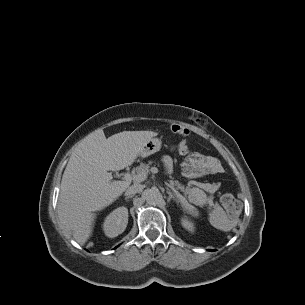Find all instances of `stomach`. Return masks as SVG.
<instances>
[{"instance_id":"obj_1","label":"stomach","mask_w":305,"mask_h":305,"mask_svg":"<svg viewBox=\"0 0 305 305\" xmlns=\"http://www.w3.org/2000/svg\"><path fill=\"white\" fill-rule=\"evenodd\" d=\"M162 142L158 138H151L146 141L139 153V156L142 158H146L156 152H158L161 148Z\"/></svg>"}]
</instances>
